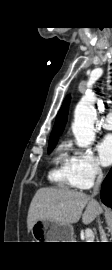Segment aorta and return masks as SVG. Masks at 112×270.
<instances>
[{"instance_id":"aorta-1","label":"aorta","mask_w":112,"mask_h":270,"mask_svg":"<svg viewBox=\"0 0 112 270\" xmlns=\"http://www.w3.org/2000/svg\"><path fill=\"white\" fill-rule=\"evenodd\" d=\"M95 99L93 93H87L75 108L72 132L79 147H87L95 140L94 122L97 118Z\"/></svg>"}]
</instances>
